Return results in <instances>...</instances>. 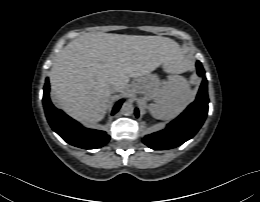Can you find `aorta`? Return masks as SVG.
Listing matches in <instances>:
<instances>
[{
	"mask_svg": "<svg viewBox=\"0 0 260 202\" xmlns=\"http://www.w3.org/2000/svg\"><path fill=\"white\" fill-rule=\"evenodd\" d=\"M120 111H121V113H122L123 115L130 116V115H132L133 112H134V106H133V104L130 103V102H125V103L122 105Z\"/></svg>",
	"mask_w": 260,
	"mask_h": 202,
	"instance_id": "obj_1",
	"label": "aorta"
}]
</instances>
